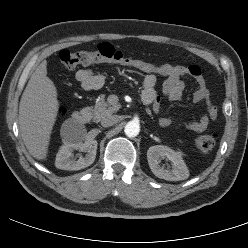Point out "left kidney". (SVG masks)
<instances>
[{"mask_svg":"<svg viewBox=\"0 0 248 248\" xmlns=\"http://www.w3.org/2000/svg\"><path fill=\"white\" fill-rule=\"evenodd\" d=\"M167 157L172 162V168L160 166L159 159ZM148 164L153 174L168 181H180L189 177V170L179 152L163 145L152 146L147 151Z\"/></svg>","mask_w":248,"mask_h":248,"instance_id":"left-kidney-1","label":"left kidney"}]
</instances>
